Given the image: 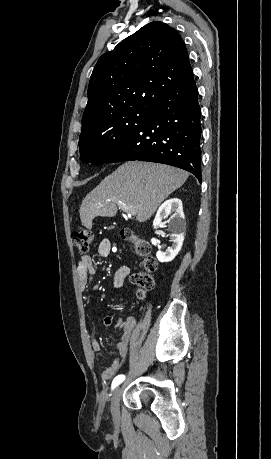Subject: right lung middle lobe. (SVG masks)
<instances>
[{
	"mask_svg": "<svg viewBox=\"0 0 271 459\" xmlns=\"http://www.w3.org/2000/svg\"><path fill=\"white\" fill-rule=\"evenodd\" d=\"M153 106L95 117L82 123L79 150L83 162L105 163L149 117Z\"/></svg>",
	"mask_w": 271,
	"mask_h": 459,
	"instance_id": "obj_1",
	"label": "right lung middle lobe"
}]
</instances>
